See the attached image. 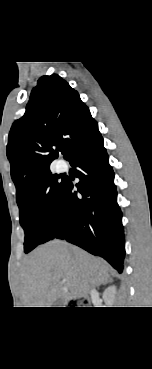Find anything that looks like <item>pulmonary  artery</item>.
Instances as JSON below:
<instances>
[{
  "label": "pulmonary artery",
  "instance_id": "pulmonary-artery-1",
  "mask_svg": "<svg viewBox=\"0 0 152 369\" xmlns=\"http://www.w3.org/2000/svg\"><path fill=\"white\" fill-rule=\"evenodd\" d=\"M65 167H66L65 164L62 163V162L57 165V168H58L59 171H63L65 169Z\"/></svg>",
  "mask_w": 152,
  "mask_h": 369
}]
</instances>
